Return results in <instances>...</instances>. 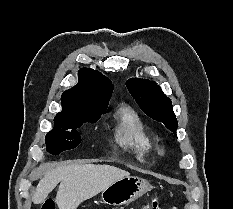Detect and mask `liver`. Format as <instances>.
<instances>
[{
	"label": "liver",
	"instance_id": "liver-1",
	"mask_svg": "<svg viewBox=\"0 0 233 209\" xmlns=\"http://www.w3.org/2000/svg\"><path fill=\"white\" fill-rule=\"evenodd\" d=\"M129 172L111 165L72 164L50 170L39 181L32 201L41 204L60 183L56 195L59 209H77L85 200L102 192Z\"/></svg>",
	"mask_w": 233,
	"mask_h": 209
}]
</instances>
